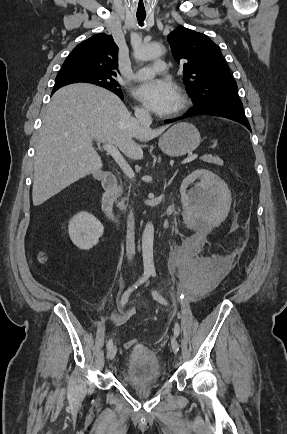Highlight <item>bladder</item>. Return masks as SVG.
<instances>
[{
	"mask_svg": "<svg viewBox=\"0 0 287 434\" xmlns=\"http://www.w3.org/2000/svg\"><path fill=\"white\" fill-rule=\"evenodd\" d=\"M163 377L157 357L149 351L133 352L120 371V378L128 386L145 387L158 384Z\"/></svg>",
	"mask_w": 287,
	"mask_h": 434,
	"instance_id": "bladder-1",
	"label": "bladder"
}]
</instances>
